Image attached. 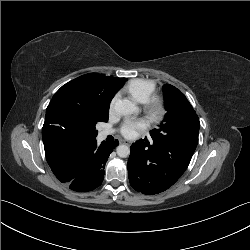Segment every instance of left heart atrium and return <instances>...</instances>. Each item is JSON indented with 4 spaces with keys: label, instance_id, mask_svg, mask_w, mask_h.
I'll return each mask as SVG.
<instances>
[{
    "label": "left heart atrium",
    "instance_id": "1",
    "mask_svg": "<svg viewBox=\"0 0 250 250\" xmlns=\"http://www.w3.org/2000/svg\"><path fill=\"white\" fill-rule=\"evenodd\" d=\"M145 128L146 123L143 120L128 119L123 123L121 133L127 138H133Z\"/></svg>",
    "mask_w": 250,
    "mask_h": 250
}]
</instances>
